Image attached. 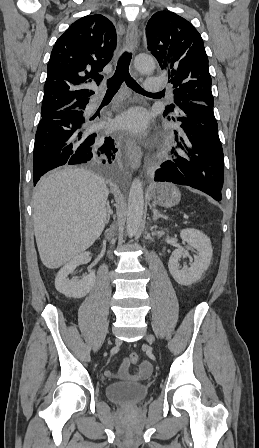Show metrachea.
<instances>
[{
  "label": "trachea",
  "mask_w": 259,
  "mask_h": 448,
  "mask_svg": "<svg viewBox=\"0 0 259 448\" xmlns=\"http://www.w3.org/2000/svg\"><path fill=\"white\" fill-rule=\"evenodd\" d=\"M132 54L129 52H124L119 58L114 75L107 80V91L106 95L116 94L123 82L137 93H151L146 92L144 88L131 77L129 73V65L131 61Z\"/></svg>",
  "instance_id": "trachea-1"
}]
</instances>
